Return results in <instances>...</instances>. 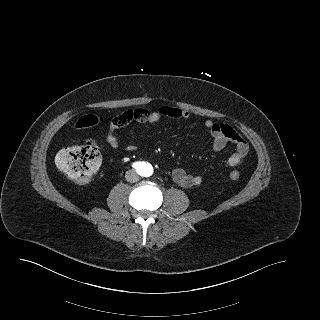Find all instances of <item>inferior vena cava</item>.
Segmentation results:
<instances>
[{
    "instance_id": "1",
    "label": "inferior vena cava",
    "mask_w": 320,
    "mask_h": 320,
    "mask_svg": "<svg viewBox=\"0 0 320 320\" xmlns=\"http://www.w3.org/2000/svg\"><path fill=\"white\" fill-rule=\"evenodd\" d=\"M125 178H126V180H127L128 182L134 183V182L138 181L139 176H138V174L136 173V171H134V170H129V171L126 172Z\"/></svg>"
}]
</instances>
